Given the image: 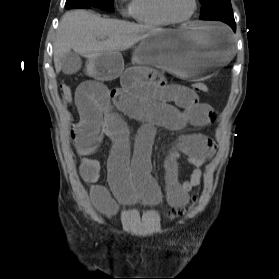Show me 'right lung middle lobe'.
<instances>
[{
  "label": "right lung middle lobe",
  "mask_w": 279,
  "mask_h": 279,
  "mask_svg": "<svg viewBox=\"0 0 279 279\" xmlns=\"http://www.w3.org/2000/svg\"><path fill=\"white\" fill-rule=\"evenodd\" d=\"M76 2L88 4L91 7H96L110 12L114 10V0H66V6Z\"/></svg>",
  "instance_id": "dd1d6c3e"
}]
</instances>
